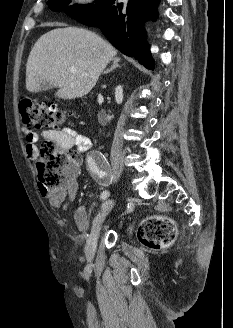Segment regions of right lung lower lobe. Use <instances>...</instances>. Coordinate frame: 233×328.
Here are the masks:
<instances>
[{
    "instance_id": "1",
    "label": "right lung lower lobe",
    "mask_w": 233,
    "mask_h": 328,
    "mask_svg": "<svg viewBox=\"0 0 233 328\" xmlns=\"http://www.w3.org/2000/svg\"><path fill=\"white\" fill-rule=\"evenodd\" d=\"M160 0H99L81 12L69 14L77 21L98 26L111 44L127 56H132L148 69H154L146 42L144 22L158 17Z\"/></svg>"
}]
</instances>
